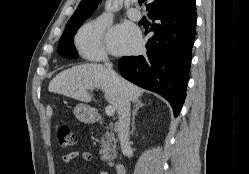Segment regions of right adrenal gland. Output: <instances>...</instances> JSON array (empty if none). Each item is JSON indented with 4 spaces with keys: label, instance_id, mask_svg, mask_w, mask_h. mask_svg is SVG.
Returning <instances> with one entry per match:
<instances>
[{
    "label": "right adrenal gland",
    "instance_id": "right-adrenal-gland-1",
    "mask_svg": "<svg viewBox=\"0 0 249 174\" xmlns=\"http://www.w3.org/2000/svg\"><path fill=\"white\" fill-rule=\"evenodd\" d=\"M143 106H144V104L141 103L140 100L134 101V105H133V117H132V131H131V134H132V133L134 132V130H135V117H136V115H137V112H138V110H139L141 107H143Z\"/></svg>",
    "mask_w": 249,
    "mask_h": 174
}]
</instances>
